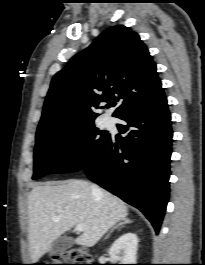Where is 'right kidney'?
Returning a JSON list of instances; mask_svg holds the SVG:
<instances>
[{"label":"right kidney","mask_w":205,"mask_h":265,"mask_svg":"<svg viewBox=\"0 0 205 265\" xmlns=\"http://www.w3.org/2000/svg\"><path fill=\"white\" fill-rule=\"evenodd\" d=\"M137 248V235L128 232L115 240L109 249V255L112 259L121 261V264H136Z\"/></svg>","instance_id":"1"}]
</instances>
